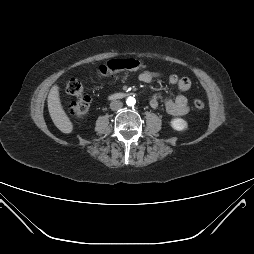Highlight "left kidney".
<instances>
[{
    "instance_id": "5707ae66",
    "label": "left kidney",
    "mask_w": 254,
    "mask_h": 254,
    "mask_svg": "<svg viewBox=\"0 0 254 254\" xmlns=\"http://www.w3.org/2000/svg\"><path fill=\"white\" fill-rule=\"evenodd\" d=\"M171 127L177 131H183V130L187 129L188 124L182 118H173L171 120Z\"/></svg>"
}]
</instances>
